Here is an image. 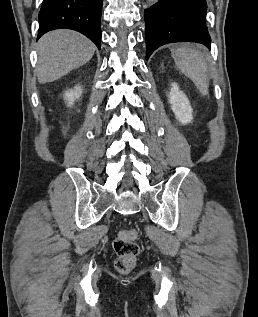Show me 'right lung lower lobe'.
<instances>
[{"label": "right lung lower lobe", "instance_id": "1", "mask_svg": "<svg viewBox=\"0 0 258 317\" xmlns=\"http://www.w3.org/2000/svg\"><path fill=\"white\" fill-rule=\"evenodd\" d=\"M103 0H43L38 38L50 30H76L101 49L100 19Z\"/></svg>", "mask_w": 258, "mask_h": 317}]
</instances>
